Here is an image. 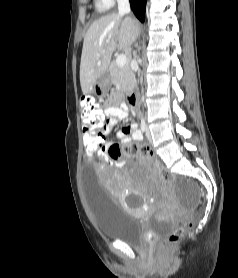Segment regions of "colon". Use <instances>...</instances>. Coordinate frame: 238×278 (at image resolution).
Listing matches in <instances>:
<instances>
[{
    "label": "colon",
    "instance_id": "1",
    "mask_svg": "<svg viewBox=\"0 0 238 278\" xmlns=\"http://www.w3.org/2000/svg\"><path fill=\"white\" fill-rule=\"evenodd\" d=\"M80 130H84V159H99V153H102L103 141V116L102 110L92 96H85L81 99ZM125 152L129 155L139 156L151 163L158 169L163 183L176 185L175 174H172L166 167L161 165L154 157L151 149L144 145L130 144ZM108 154L113 162L117 163L122 157V149L113 144L108 150ZM192 226L191 214L186 210H179L177 213V222L173 229L167 233L161 247L166 249L179 242L186 232Z\"/></svg>",
    "mask_w": 238,
    "mask_h": 278
}]
</instances>
